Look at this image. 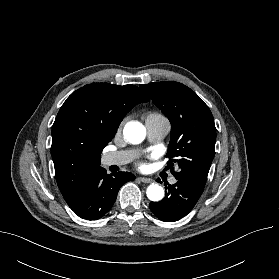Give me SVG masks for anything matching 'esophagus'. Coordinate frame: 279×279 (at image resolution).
<instances>
[{
	"label": "esophagus",
	"mask_w": 279,
	"mask_h": 279,
	"mask_svg": "<svg viewBox=\"0 0 279 279\" xmlns=\"http://www.w3.org/2000/svg\"><path fill=\"white\" fill-rule=\"evenodd\" d=\"M139 180L143 183H151L153 182V179L151 178H145V177H140Z\"/></svg>",
	"instance_id": "obj_1"
}]
</instances>
